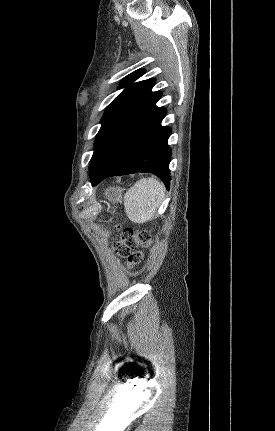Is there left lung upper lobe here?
Returning <instances> with one entry per match:
<instances>
[{"label": "left lung upper lobe", "instance_id": "5c2ea615", "mask_svg": "<svg viewBox=\"0 0 275 431\" xmlns=\"http://www.w3.org/2000/svg\"><path fill=\"white\" fill-rule=\"evenodd\" d=\"M144 72L139 69L126 76L119 86V89H125L106 108L95 138L90 177L105 171L122 149L162 110L163 107L156 106L162 93L151 91L155 79L135 82Z\"/></svg>", "mask_w": 275, "mask_h": 431}]
</instances>
